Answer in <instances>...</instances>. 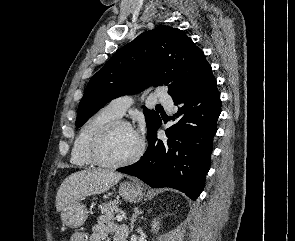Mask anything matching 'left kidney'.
Here are the masks:
<instances>
[{"mask_svg": "<svg viewBox=\"0 0 295 241\" xmlns=\"http://www.w3.org/2000/svg\"><path fill=\"white\" fill-rule=\"evenodd\" d=\"M159 226H160L159 221L154 220L152 223V231L155 232V231L159 230Z\"/></svg>", "mask_w": 295, "mask_h": 241, "instance_id": "5707ae66", "label": "left kidney"}]
</instances>
